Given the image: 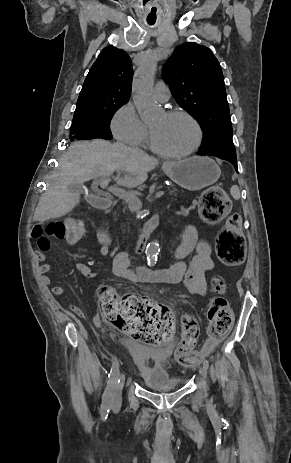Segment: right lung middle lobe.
<instances>
[{
	"label": "right lung middle lobe",
	"instance_id": "obj_1",
	"mask_svg": "<svg viewBox=\"0 0 291 463\" xmlns=\"http://www.w3.org/2000/svg\"><path fill=\"white\" fill-rule=\"evenodd\" d=\"M125 102L107 101L94 111L73 117L70 139L89 140L96 138L111 139L110 122L114 113Z\"/></svg>",
	"mask_w": 291,
	"mask_h": 463
}]
</instances>
